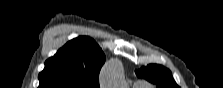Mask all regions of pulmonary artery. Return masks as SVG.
I'll use <instances>...</instances> for the list:
<instances>
[{
  "label": "pulmonary artery",
  "mask_w": 223,
  "mask_h": 88,
  "mask_svg": "<svg viewBox=\"0 0 223 88\" xmlns=\"http://www.w3.org/2000/svg\"><path fill=\"white\" fill-rule=\"evenodd\" d=\"M145 83L141 82V81H137L135 82V87H141V86H144Z\"/></svg>",
  "instance_id": "pulmonary-artery-1"
}]
</instances>
